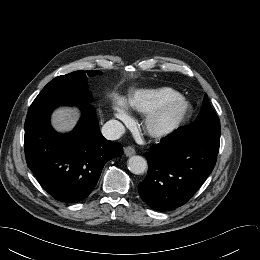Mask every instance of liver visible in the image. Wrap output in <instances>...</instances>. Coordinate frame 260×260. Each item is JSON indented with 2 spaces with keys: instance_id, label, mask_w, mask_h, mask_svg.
Masks as SVG:
<instances>
[{
  "instance_id": "6515ba94",
  "label": "liver",
  "mask_w": 260,
  "mask_h": 260,
  "mask_svg": "<svg viewBox=\"0 0 260 260\" xmlns=\"http://www.w3.org/2000/svg\"><path fill=\"white\" fill-rule=\"evenodd\" d=\"M77 122V116L68 108H61L54 112L52 124L59 132H68L72 130Z\"/></svg>"
}]
</instances>
